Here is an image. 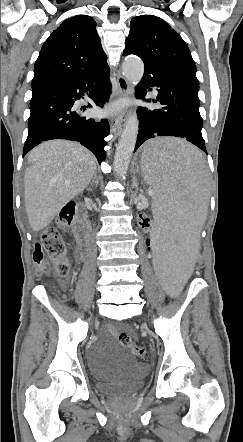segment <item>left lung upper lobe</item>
<instances>
[{"label":"left lung upper lobe","instance_id":"left-lung-upper-lobe-1","mask_svg":"<svg viewBox=\"0 0 243 442\" xmlns=\"http://www.w3.org/2000/svg\"><path fill=\"white\" fill-rule=\"evenodd\" d=\"M126 54L139 56L144 64L196 74L188 45L165 21L156 16L134 17L125 42Z\"/></svg>","mask_w":243,"mask_h":442}]
</instances>
